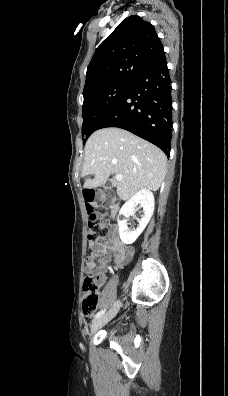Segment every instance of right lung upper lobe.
Returning <instances> with one entry per match:
<instances>
[{
    "label": "right lung upper lobe",
    "instance_id": "cb5924a9",
    "mask_svg": "<svg viewBox=\"0 0 228 396\" xmlns=\"http://www.w3.org/2000/svg\"><path fill=\"white\" fill-rule=\"evenodd\" d=\"M162 47L151 23L137 15L127 17L96 49L83 94L112 83H131Z\"/></svg>",
    "mask_w": 228,
    "mask_h": 396
}]
</instances>
